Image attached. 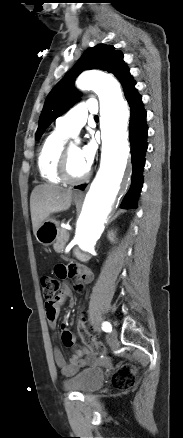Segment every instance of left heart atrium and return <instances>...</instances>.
Instances as JSON below:
<instances>
[{"label":"left heart atrium","instance_id":"1","mask_svg":"<svg viewBox=\"0 0 183 438\" xmlns=\"http://www.w3.org/2000/svg\"><path fill=\"white\" fill-rule=\"evenodd\" d=\"M95 153H96V145L93 141L88 142L81 149V155H82L83 161L85 162V164L88 168H90L91 164L93 163Z\"/></svg>","mask_w":183,"mask_h":438}]
</instances>
